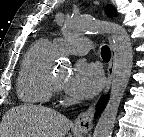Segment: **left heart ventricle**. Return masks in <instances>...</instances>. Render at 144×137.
Here are the masks:
<instances>
[{
  "label": "left heart ventricle",
  "mask_w": 144,
  "mask_h": 137,
  "mask_svg": "<svg viewBox=\"0 0 144 137\" xmlns=\"http://www.w3.org/2000/svg\"><path fill=\"white\" fill-rule=\"evenodd\" d=\"M55 76L59 80V82H61L62 84H64L66 79H67V73L66 72L57 73Z\"/></svg>",
  "instance_id": "b2bd125f"
}]
</instances>
